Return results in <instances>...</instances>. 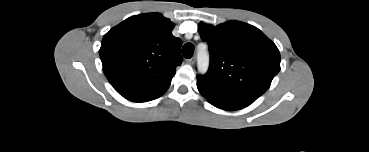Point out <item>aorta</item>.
I'll use <instances>...</instances> for the list:
<instances>
[{
	"label": "aorta",
	"mask_w": 369,
	"mask_h": 152,
	"mask_svg": "<svg viewBox=\"0 0 369 152\" xmlns=\"http://www.w3.org/2000/svg\"><path fill=\"white\" fill-rule=\"evenodd\" d=\"M198 71L205 73L209 66V56L205 52L198 53Z\"/></svg>",
	"instance_id": "obj_1"
}]
</instances>
